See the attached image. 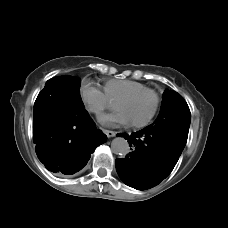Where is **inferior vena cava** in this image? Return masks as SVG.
Here are the masks:
<instances>
[{"mask_svg": "<svg viewBox=\"0 0 228 228\" xmlns=\"http://www.w3.org/2000/svg\"><path fill=\"white\" fill-rule=\"evenodd\" d=\"M92 110H93V112H99L98 108H93Z\"/></svg>", "mask_w": 228, "mask_h": 228, "instance_id": "602c4592", "label": "inferior vena cava"}]
</instances>
